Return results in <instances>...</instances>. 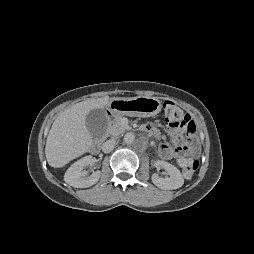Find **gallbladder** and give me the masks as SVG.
Wrapping results in <instances>:
<instances>
[{"instance_id": "obj_1", "label": "gallbladder", "mask_w": 254, "mask_h": 254, "mask_svg": "<svg viewBox=\"0 0 254 254\" xmlns=\"http://www.w3.org/2000/svg\"><path fill=\"white\" fill-rule=\"evenodd\" d=\"M86 127L94 139H102L107 130L108 118L104 109H93L86 116Z\"/></svg>"}]
</instances>
